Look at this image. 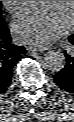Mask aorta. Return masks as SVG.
<instances>
[{"label":"aorta","instance_id":"aorta-1","mask_svg":"<svg viewBox=\"0 0 74 122\" xmlns=\"http://www.w3.org/2000/svg\"><path fill=\"white\" fill-rule=\"evenodd\" d=\"M42 3V2H38ZM66 65L65 56L61 51L50 50L44 54L43 66L48 71L58 72L61 71Z\"/></svg>","mask_w":74,"mask_h":122}]
</instances>
